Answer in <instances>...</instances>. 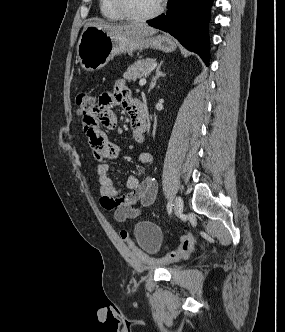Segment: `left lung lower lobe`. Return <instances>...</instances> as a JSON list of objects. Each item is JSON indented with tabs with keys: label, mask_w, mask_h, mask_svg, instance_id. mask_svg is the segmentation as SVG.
<instances>
[{
	"label": "left lung lower lobe",
	"mask_w": 285,
	"mask_h": 332,
	"mask_svg": "<svg viewBox=\"0 0 285 332\" xmlns=\"http://www.w3.org/2000/svg\"><path fill=\"white\" fill-rule=\"evenodd\" d=\"M212 0H171L166 14L147 23L169 32L208 65V21Z\"/></svg>",
	"instance_id": "left-lung-lower-lobe-1"
}]
</instances>
